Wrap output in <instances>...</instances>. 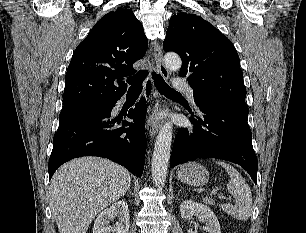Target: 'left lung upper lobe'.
Segmentation results:
<instances>
[{
    "instance_id": "obj_1",
    "label": "left lung upper lobe",
    "mask_w": 306,
    "mask_h": 233,
    "mask_svg": "<svg viewBox=\"0 0 306 233\" xmlns=\"http://www.w3.org/2000/svg\"><path fill=\"white\" fill-rule=\"evenodd\" d=\"M164 51L180 55V75L187 76L196 104L226 101L246 106V88L236 49L203 18L186 13L173 15Z\"/></svg>"
}]
</instances>
